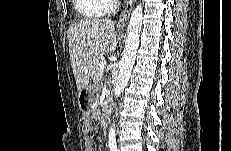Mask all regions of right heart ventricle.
Listing matches in <instances>:
<instances>
[{"label":"right heart ventricle","instance_id":"obj_1","mask_svg":"<svg viewBox=\"0 0 231 151\" xmlns=\"http://www.w3.org/2000/svg\"><path fill=\"white\" fill-rule=\"evenodd\" d=\"M75 4L80 23L99 20L108 12V3L104 0H76Z\"/></svg>","mask_w":231,"mask_h":151}]
</instances>
